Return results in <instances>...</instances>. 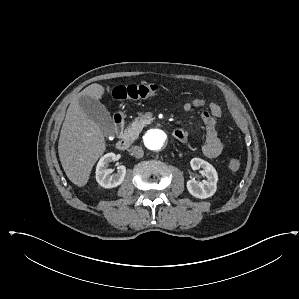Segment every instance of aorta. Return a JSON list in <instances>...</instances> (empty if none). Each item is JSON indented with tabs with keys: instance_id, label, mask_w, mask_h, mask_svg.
<instances>
[{
	"instance_id": "obj_1",
	"label": "aorta",
	"mask_w": 299,
	"mask_h": 299,
	"mask_svg": "<svg viewBox=\"0 0 299 299\" xmlns=\"http://www.w3.org/2000/svg\"><path fill=\"white\" fill-rule=\"evenodd\" d=\"M167 141V135L161 129H151L144 136L145 146L152 151L163 150Z\"/></svg>"
}]
</instances>
